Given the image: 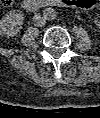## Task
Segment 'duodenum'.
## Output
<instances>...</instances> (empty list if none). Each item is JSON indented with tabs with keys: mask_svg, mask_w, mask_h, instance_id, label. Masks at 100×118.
Returning <instances> with one entry per match:
<instances>
[{
	"mask_svg": "<svg viewBox=\"0 0 100 118\" xmlns=\"http://www.w3.org/2000/svg\"><path fill=\"white\" fill-rule=\"evenodd\" d=\"M69 4L68 0H24L23 8L26 11H34L39 8L62 6Z\"/></svg>",
	"mask_w": 100,
	"mask_h": 118,
	"instance_id": "1",
	"label": "duodenum"
}]
</instances>
